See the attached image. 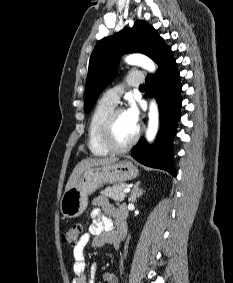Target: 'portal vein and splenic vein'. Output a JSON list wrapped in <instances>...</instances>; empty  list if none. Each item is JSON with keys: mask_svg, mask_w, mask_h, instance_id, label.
I'll return each instance as SVG.
<instances>
[{"mask_svg": "<svg viewBox=\"0 0 233 283\" xmlns=\"http://www.w3.org/2000/svg\"><path fill=\"white\" fill-rule=\"evenodd\" d=\"M130 190H131V189L127 187V188H125V189L123 190V192H124V193H129Z\"/></svg>", "mask_w": 233, "mask_h": 283, "instance_id": "1", "label": "portal vein and splenic vein"}]
</instances>
